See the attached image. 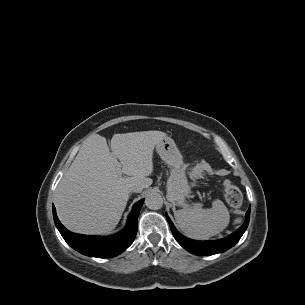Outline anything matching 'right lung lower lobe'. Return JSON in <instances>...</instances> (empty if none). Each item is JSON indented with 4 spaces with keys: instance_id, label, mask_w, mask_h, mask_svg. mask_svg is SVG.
Returning a JSON list of instances; mask_svg holds the SVG:
<instances>
[{
    "instance_id": "98d812e1",
    "label": "right lung lower lobe",
    "mask_w": 305,
    "mask_h": 305,
    "mask_svg": "<svg viewBox=\"0 0 305 305\" xmlns=\"http://www.w3.org/2000/svg\"><path fill=\"white\" fill-rule=\"evenodd\" d=\"M143 202L144 199L134 204L124 230L106 237L80 235L68 231L57 218L54 205L53 217L60 234L73 249L87 256L109 258L121 254L133 243L138 229L137 217Z\"/></svg>"
}]
</instances>
